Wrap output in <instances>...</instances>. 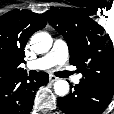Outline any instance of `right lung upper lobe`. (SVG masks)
Masks as SVG:
<instances>
[{"mask_svg":"<svg viewBox=\"0 0 114 114\" xmlns=\"http://www.w3.org/2000/svg\"><path fill=\"white\" fill-rule=\"evenodd\" d=\"M46 24L43 14L30 10H14L0 17V79L25 72L18 67L25 62V45Z\"/></svg>","mask_w":114,"mask_h":114,"instance_id":"obj_1","label":"right lung upper lobe"}]
</instances>
